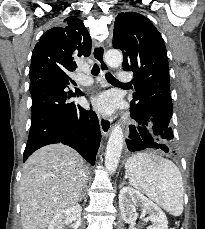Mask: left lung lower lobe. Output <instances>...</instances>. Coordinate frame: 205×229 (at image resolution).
<instances>
[{
	"label": "left lung lower lobe",
	"mask_w": 205,
	"mask_h": 229,
	"mask_svg": "<svg viewBox=\"0 0 205 229\" xmlns=\"http://www.w3.org/2000/svg\"><path fill=\"white\" fill-rule=\"evenodd\" d=\"M130 115L136 123L129 126L130 139L126 141L131 152L146 148H160L166 153L174 152L171 149L174 136L169 124L143 110L130 108Z\"/></svg>",
	"instance_id": "left-lung-lower-lobe-1"
}]
</instances>
